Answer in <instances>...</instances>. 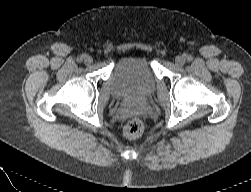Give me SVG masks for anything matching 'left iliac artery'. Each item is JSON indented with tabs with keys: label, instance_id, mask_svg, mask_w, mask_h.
<instances>
[{
	"label": "left iliac artery",
	"instance_id": "left-iliac-artery-1",
	"mask_svg": "<svg viewBox=\"0 0 251 192\" xmlns=\"http://www.w3.org/2000/svg\"><path fill=\"white\" fill-rule=\"evenodd\" d=\"M192 57L191 56H187V61H191Z\"/></svg>",
	"mask_w": 251,
	"mask_h": 192
}]
</instances>
